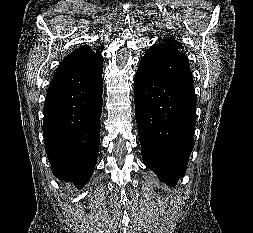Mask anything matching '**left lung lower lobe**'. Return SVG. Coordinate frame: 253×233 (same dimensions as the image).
Listing matches in <instances>:
<instances>
[{
	"label": "left lung lower lobe",
	"instance_id": "1",
	"mask_svg": "<svg viewBox=\"0 0 253 233\" xmlns=\"http://www.w3.org/2000/svg\"><path fill=\"white\" fill-rule=\"evenodd\" d=\"M134 100L143 162L173 185L194 146L196 99L186 55L177 47L154 44L140 61Z\"/></svg>",
	"mask_w": 253,
	"mask_h": 233
}]
</instances>
